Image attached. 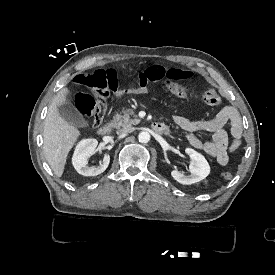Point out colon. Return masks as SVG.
I'll use <instances>...</instances> for the list:
<instances>
[{
	"label": "colon",
	"instance_id": "obj_1",
	"mask_svg": "<svg viewBox=\"0 0 275 275\" xmlns=\"http://www.w3.org/2000/svg\"><path fill=\"white\" fill-rule=\"evenodd\" d=\"M79 76L73 79L74 88L83 90L74 95L77 112L88 124H100L107 112L108 81H104L103 72H90L87 68H82ZM160 87L170 94L183 98H195L211 106L222 104L221 96L210 89H194L189 85H160ZM222 176L229 179L232 173L225 171Z\"/></svg>",
	"mask_w": 275,
	"mask_h": 275
}]
</instances>
